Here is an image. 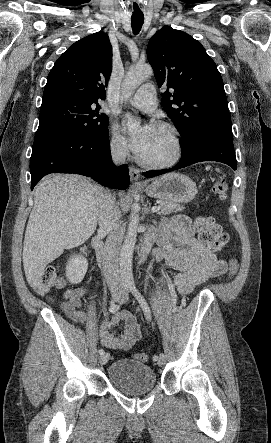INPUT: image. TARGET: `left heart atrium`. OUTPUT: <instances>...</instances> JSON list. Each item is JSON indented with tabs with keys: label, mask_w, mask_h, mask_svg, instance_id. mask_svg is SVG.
Masks as SVG:
<instances>
[{
	"label": "left heart atrium",
	"mask_w": 271,
	"mask_h": 443,
	"mask_svg": "<svg viewBox=\"0 0 271 443\" xmlns=\"http://www.w3.org/2000/svg\"><path fill=\"white\" fill-rule=\"evenodd\" d=\"M132 119L133 117L126 116L123 122L126 124ZM152 127V124L143 122L137 133L130 138V147L138 155L142 156L145 153L150 141Z\"/></svg>",
	"instance_id": "left-heart-atrium-1"
}]
</instances>
